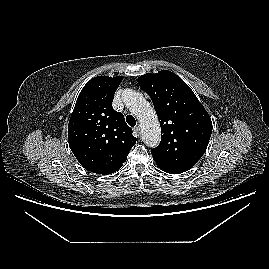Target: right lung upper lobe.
<instances>
[{
	"instance_id": "right-lung-upper-lobe-1",
	"label": "right lung upper lobe",
	"mask_w": 269,
	"mask_h": 269,
	"mask_svg": "<svg viewBox=\"0 0 269 269\" xmlns=\"http://www.w3.org/2000/svg\"><path fill=\"white\" fill-rule=\"evenodd\" d=\"M122 79L98 76L87 82L69 120V146L79 163L96 174L119 170L137 140L123 114L112 107Z\"/></svg>"
}]
</instances>
